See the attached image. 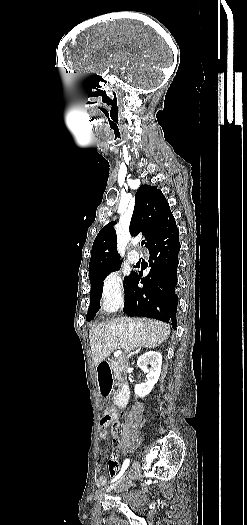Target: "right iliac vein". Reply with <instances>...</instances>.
Masks as SVG:
<instances>
[{
  "label": "right iliac vein",
  "instance_id": "right-iliac-vein-1",
  "mask_svg": "<svg viewBox=\"0 0 247 525\" xmlns=\"http://www.w3.org/2000/svg\"><path fill=\"white\" fill-rule=\"evenodd\" d=\"M125 475H126V473H125L124 475H122V478H121L119 481H117V482L111 484V485L105 490V492H110V491H112V490H113V489H114V488L120 483V481L124 478Z\"/></svg>",
  "mask_w": 247,
  "mask_h": 525
}]
</instances>
